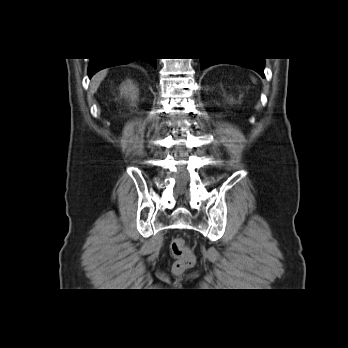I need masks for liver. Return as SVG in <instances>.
Listing matches in <instances>:
<instances>
[{
  "mask_svg": "<svg viewBox=\"0 0 348 348\" xmlns=\"http://www.w3.org/2000/svg\"><path fill=\"white\" fill-rule=\"evenodd\" d=\"M107 75V70H102L98 72L96 75L93 76L90 84V90L92 93H95L102 82V80L106 77Z\"/></svg>",
  "mask_w": 348,
  "mask_h": 348,
  "instance_id": "6515ba94",
  "label": "liver"
}]
</instances>
